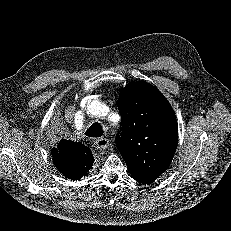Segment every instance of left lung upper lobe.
I'll return each mask as SVG.
<instances>
[{
  "label": "left lung upper lobe",
  "instance_id": "left-lung-upper-lobe-1",
  "mask_svg": "<svg viewBox=\"0 0 231 231\" xmlns=\"http://www.w3.org/2000/svg\"><path fill=\"white\" fill-rule=\"evenodd\" d=\"M121 133L116 145L131 175L165 172L178 142L174 111L162 93L145 81L132 82L120 93Z\"/></svg>",
  "mask_w": 231,
  "mask_h": 231
}]
</instances>
